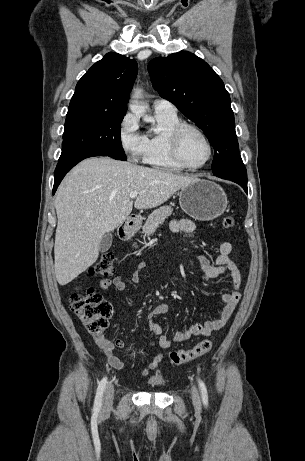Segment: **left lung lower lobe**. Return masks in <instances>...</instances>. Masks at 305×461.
I'll return each instance as SVG.
<instances>
[{
    "label": "left lung lower lobe",
    "mask_w": 305,
    "mask_h": 461,
    "mask_svg": "<svg viewBox=\"0 0 305 461\" xmlns=\"http://www.w3.org/2000/svg\"><path fill=\"white\" fill-rule=\"evenodd\" d=\"M223 179H228V180H231V181H234V182L238 183L247 192V180L235 179V178H223Z\"/></svg>",
    "instance_id": "0a47b994"
}]
</instances>
